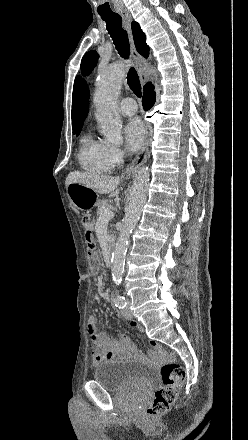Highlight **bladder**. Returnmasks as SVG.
I'll list each match as a JSON object with an SVG mask.
<instances>
[{"mask_svg": "<svg viewBox=\"0 0 248 440\" xmlns=\"http://www.w3.org/2000/svg\"><path fill=\"white\" fill-rule=\"evenodd\" d=\"M92 375L93 379L108 391H146L153 383L155 371L138 361L122 359L98 365Z\"/></svg>", "mask_w": 248, "mask_h": 440, "instance_id": "31cf9c89", "label": "bladder"}]
</instances>
